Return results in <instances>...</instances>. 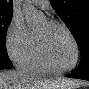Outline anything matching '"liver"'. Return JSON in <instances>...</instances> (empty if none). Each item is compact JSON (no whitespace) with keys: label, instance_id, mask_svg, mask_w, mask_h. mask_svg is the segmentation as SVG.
Returning <instances> with one entry per match:
<instances>
[{"label":"liver","instance_id":"liver-1","mask_svg":"<svg viewBox=\"0 0 89 89\" xmlns=\"http://www.w3.org/2000/svg\"><path fill=\"white\" fill-rule=\"evenodd\" d=\"M82 83L67 79L40 80L15 71H1V89H74Z\"/></svg>","mask_w":89,"mask_h":89}]
</instances>
